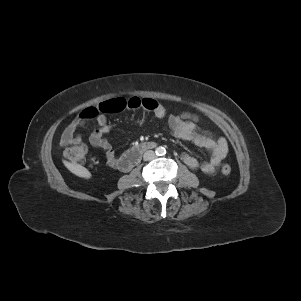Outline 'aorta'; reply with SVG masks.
<instances>
[{
  "instance_id": "1",
  "label": "aorta",
  "mask_w": 301,
  "mask_h": 301,
  "mask_svg": "<svg viewBox=\"0 0 301 301\" xmlns=\"http://www.w3.org/2000/svg\"><path fill=\"white\" fill-rule=\"evenodd\" d=\"M166 154V150L164 147H157L156 148V155L161 156Z\"/></svg>"
}]
</instances>
